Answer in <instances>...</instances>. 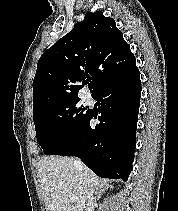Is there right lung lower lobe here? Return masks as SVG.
Returning a JSON list of instances; mask_svg holds the SVG:
<instances>
[{
  "mask_svg": "<svg viewBox=\"0 0 178 211\" xmlns=\"http://www.w3.org/2000/svg\"><path fill=\"white\" fill-rule=\"evenodd\" d=\"M140 72L136 67L127 75L103 86L93 98L99 101L100 123L84 125L51 155L77 156L103 178L127 181L136 147V128L140 106Z\"/></svg>",
  "mask_w": 178,
  "mask_h": 211,
  "instance_id": "1",
  "label": "right lung lower lobe"
}]
</instances>
